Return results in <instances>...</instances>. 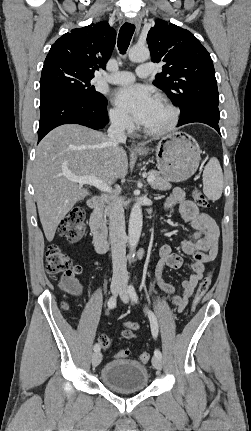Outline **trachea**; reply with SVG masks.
Listing matches in <instances>:
<instances>
[{
  "mask_svg": "<svg viewBox=\"0 0 251 431\" xmlns=\"http://www.w3.org/2000/svg\"><path fill=\"white\" fill-rule=\"evenodd\" d=\"M135 31V25L125 23L122 25L118 35V49L121 54H125Z\"/></svg>",
  "mask_w": 251,
  "mask_h": 431,
  "instance_id": "obj_1",
  "label": "trachea"
}]
</instances>
